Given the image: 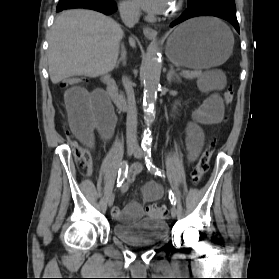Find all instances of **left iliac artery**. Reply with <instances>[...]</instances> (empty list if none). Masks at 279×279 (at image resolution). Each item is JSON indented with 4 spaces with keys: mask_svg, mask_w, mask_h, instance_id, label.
Masks as SVG:
<instances>
[{
    "mask_svg": "<svg viewBox=\"0 0 279 279\" xmlns=\"http://www.w3.org/2000/svg\"><path fill=\"white\" fill-rule=\"evenodd\" d=\"M144 155H145V162H146V166H147L148 170L155 175L165 177L164 172L161 171L158 167H156L152 163L151 147H145L144 148ZM169 199H170L172 205H176V199H175V196H174V194L171 190H169Z\"/></svg>",
    "mask_w": 279,
    "mask_h": 279,
    "instance_id": "obj_1",
    "label": "left iliac artery"
}]
</instances>
